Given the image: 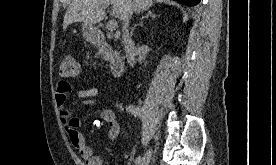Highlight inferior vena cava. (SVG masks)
<instances>
[{"label": "inferior vena cava", "mask_w": 276, "mask_h": 165, "mask_svg": "<svg viewBox=\"0 0 276 165\" xmlns=\"http://www.w3.org/2000/svg\"><path fill=\"white\" fill-rule=\"evenodd\" d=\"M132 7H131V2L126 0V4H125V12L122 18L123 21V27H122V39H123V44H124V48L125 51L127 53L128 56V62L130 63V65L134 64V47H133V43L132 40L129 37V33H128V26H129V20L132 16Z\"/></svg>", "instance_id": "inferior-vena-cava-1"}]
</instances>
